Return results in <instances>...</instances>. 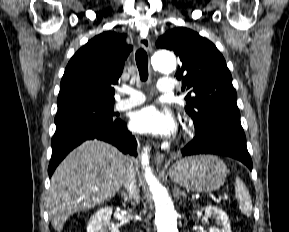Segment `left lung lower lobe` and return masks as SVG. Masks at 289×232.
Returning <instances> with one entry per match:
<instances>
[{
    "instance_id": "0a47b994",
    "label": "left lung lower lobe",
    "mask_w": 289,
    "mask_h": 232,
    "mask_svg": "<svg viewBox=\"0 0 289 232\" xmlns=\"http://www.w3.org/2000/svg\"><path fill=\"white\" fill-rule=\"evenodd\" d=\"M196 136L183 149V156L218 154L235 158L252 170L246 138L241 125H219L208 128Z\"/></svg>"
}]
</instances>
